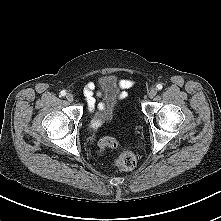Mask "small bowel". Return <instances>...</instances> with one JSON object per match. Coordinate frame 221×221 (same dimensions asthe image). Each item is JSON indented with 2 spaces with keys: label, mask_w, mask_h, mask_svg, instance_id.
Here are the masks:
<instances>
[{
  "label": "small bowel",
  "mask_w": 221,
  "mask_h": 221,
  "mask_svg": "<svg viewBox=\"0 0 221 221\" xmlns=\"http://www.w3.org/2000/svg\"><path fill=\"white\" fill-rule=\"evenodd\" d=\"M119 85L123 89L121 95L124 96L126 94V90L131 87L132 83L129 80H120ZM94 90H95V84L92 82L89 83L85 89V95H86V100H87L89 110H92L95 107V101H94V98L92 97V92Z\"/></svg>",
  "instance_id": "small-bowel-1"
}]
</instances>
